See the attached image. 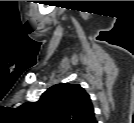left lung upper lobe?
Instances as JSON below:
<instances>
[{"instance_id":"left-lung-upper-lobe-1","label":"left lung upper lobe","mask_w":134,"mask_h":123,"mask_svg":"<svg viewBox=\"0 0 134 123\" xmlns=\"http://www.w3.org/2000/svg\"><path fill=\"white\" fill-rule=\"evenodd\" d=\"M27 112L44 120L60 123H94V109L89 94L79 85L56 84L36 102L23 105Z\"/></svg>"}]
</instances>
